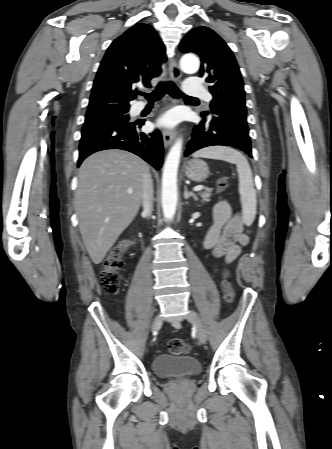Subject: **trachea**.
<instances>
[{"label": "trachea", "instance_id": "trachea-1", "mask_svg": "<svg viewBox=\"0 0 332 449\" xmlns=\"http://www.w3.org/2000/svg\"><path fill=\"white\" fill-rule=\"evenodd\" d=\"M166 92H168V94L173 98L198 100L197 98L184 94L172 81L160 82L155 90L150 94H145L143 92H139V94L145 96L148 101L152 102L161 99Z\"/></svg>", "mask_w": 332, "mask_h": 449}]
</instances>
